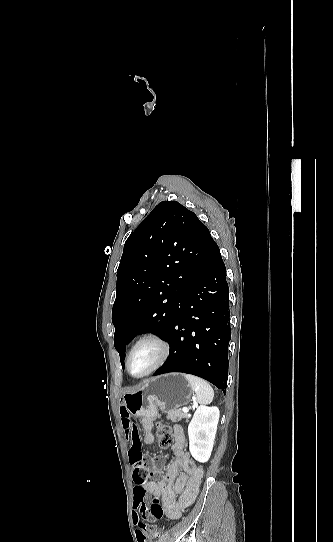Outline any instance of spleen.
<instances>
[{"label":"spleen","instance_id":"1","mask_svg":"<svg viewBox=\"0 0 333 542\" xmlns=\"http://www.w3.org/2000/svg\"><path fill=\"white\" fill-rule=\"evenodd\" d=\"M183 376L189 382L191 390L196 396V402L198 404H211L214 392L210 384L205 380H201V378H197V376H191V374H183Z\"/></svg>","mask_w":333,"mask_h":542}]
</instances>
